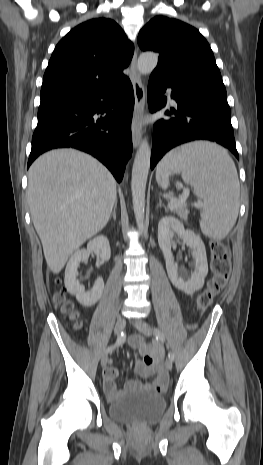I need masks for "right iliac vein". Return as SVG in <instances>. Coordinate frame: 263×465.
Listing matches in <instances>:
<instances>
[{
	"instance_id": "1",
	"label": "right iliac vein",
	"mask_w": 263,
	"mask_h": 465,
	"mask_svg": "<svg viewBox=\"0 0 263 465\" xmlns=\"http://www.w3.org/2000/svg\"><path fill=\"white\" fill-rule=\"evenodd\" d=\"M125 325H126V320L123 316H119L117 318V321H116V324H115V328H114V333L115 335L119 336L120 333L124 330L125 328ZM107 361H108V354L107 353H104L102 358H101V366L102 367H105L106 364H107Z\"/></svg>"
}]
</instances>
